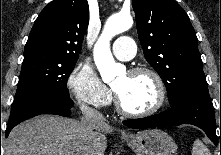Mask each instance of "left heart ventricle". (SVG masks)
<instances>
[{
	"label": "left heart ventricle",
	"instance_id": "1",
	"mask_svg": "<svg viewBox=\"0 0 221 155\" xmlns=\"http://www.w3.org/2000/svg\"><path fill=\"white\" fill-rule=\"evenodd\" d=\"M124 106L133 112H143L152 108L158 98L154 79L148 74H122L113 84Z\"/></svg>",
	"mask_w": 221,
	"mask_h": 155
}]
</instances>
